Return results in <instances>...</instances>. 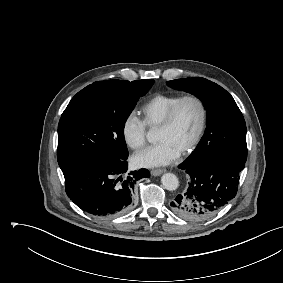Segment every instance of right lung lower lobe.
Masks as SVG:
<instances>
[{
  "label": "right lung lower lobe",
  "instance_id": "98d812e1",
  "mask_svg": "<svg viewBox=\"0 0 283 283\" xmlns=\"http://www.w3.org/2000/svg\"><path fill=\"white\" fill-rule=\"evenodd\" d=\"M127 158L95 156L66 167L62 172L68 197L80 209L96 217L127 213L134 205L136 182L150 177L147 169L125 175Z\"/></svg>",
  "mask_w": 283,
  "mask_h": 283
}]
</instances>
